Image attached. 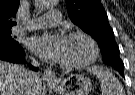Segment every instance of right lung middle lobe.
<instances>
[{
    "mask_svg": "<svg viewBox=\"0 0 135 95\" xmlns=\"http://www.w3.org/2000/svg\"><path fill=\"white\" fill-rule=\"evenodd\" d=\"M10 34V29L0 30V48H10L19 44L10 36Z\"/></svg>",
    "mask_w": 135,
    "mask_h": 95,
    "instance_id": "dd1d6c3e",
    "label": "right lung middle lobe"
}]
</instances>
